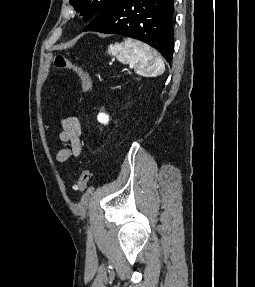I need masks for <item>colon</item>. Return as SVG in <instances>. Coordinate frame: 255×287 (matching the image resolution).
Masks as SVG:
<instances>
[{"mask_svg":"<svg viewBox=\"0 0 255 287\" xmlns=\"http://www.w3.org/2000/svg\"><path fill=\"white\" fill-rule=\"evenodd\" d=\"M54 65L58 69L70 70V71L75 72L80 77L81 82H82V87L85 92H88L91 89L92 82H91V78L88 72L84 70L82 67H80L79 65L72 62L69 58L59 55L55 58ZM90 177H91V173L88 169H83L81 171L80 176L77 181V189L80 192H84L87 189Z\"/></svg>","mask_w":255,"mask_h":287,"instance_id":"obj_1","label":"colon"}]
</instances>
